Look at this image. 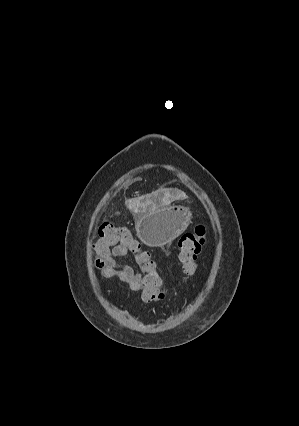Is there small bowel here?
<instances>
[{
	"label": "small bowel",
	"instance_id": "obj_1",
	"mask_svg": "<svg viewBox=\"0 0 299 426\" xmlns=\"http://www.w3.org/2000/svg\"><path fill=\"white\" fill-rule=\"evenodd\" d=\"M129 255H133L137 268L124 262ZM99 269L102 277L106 279L116 278L120 283L125 284L131 291H141L145 267L140 262L138 255L132 254L126 248H113L110 254L103 260ZM117 286L121 288L120 284Z\"/></svg>",
	"mask_w": 299,
	"mask_h": 426
}]
</instances>
